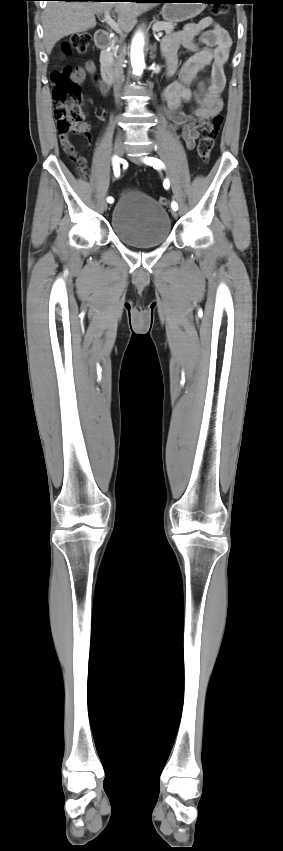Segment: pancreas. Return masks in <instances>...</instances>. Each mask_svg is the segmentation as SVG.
Instances as JSON below:
<instances>
[{
	"instance_id": "cf45deb5",
	"label": "pancreas",
	"mask_w": 283,
	"mask_h": 851,
	"mask_svg": "<svg viewBox=\"0 0 283 851\" xmlns=\"http://www.w3.org/2000/svg\"><path fill=\"white\" fill-rule=\"evenodd\" d=\"M175 25L176 24L170 23V22L156 21L154 23L152 29H153V31H158V32L159 31H165L166 34H171L174 31ZM118 52H119V49L113 43L112 46H111V51L105 53V56H104L105 62L112 64L114 62V58H118V56H117Z\"/></svg>"
}]
</instances>
